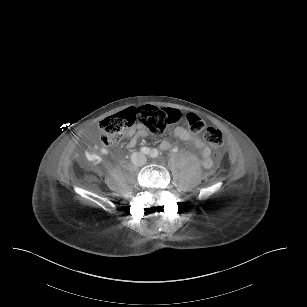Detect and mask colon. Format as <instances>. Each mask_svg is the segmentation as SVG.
<instances>
[{"label": "colon", "instance_id": "5ec220e1", "mask_svg": "<svg viewBox=\"0 0 307 307\" xmlns=\"http://www.w3.org/2000/svg\"><path fill=\"white\" fill-rule=\"evenodd\" d=\"M124 116H134L135 122L139 121L142 123L152 134H160L168 126L177 123L182 116V112L173 108L161 109L147 105L107 116L99 124L101 139L106 146H114L124 134L125 129L134 124L124 123ZM185 121L189 129L194 133L202 132L205 128V122L197 114L186 113ZM204 137L214 150L216 156L221 157L223 146L222 132L216 128L208 127L204 130Z\"/></svg>", "mask_w": 307, "mask_h": 307}]
</instances>
